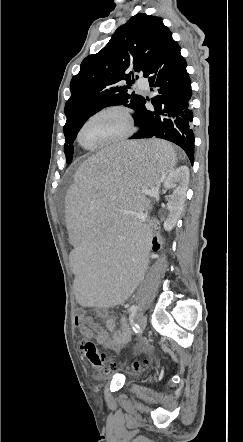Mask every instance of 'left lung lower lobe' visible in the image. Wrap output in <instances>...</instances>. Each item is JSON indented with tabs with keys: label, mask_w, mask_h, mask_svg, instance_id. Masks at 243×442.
<instances>
[{
	"label": "left lung lower lobe",
	"mask_w": 243,
	"mask_h": 442,
	"mask_svg": "<svg viewBox=\"0 0 243 442\" xmlns=\"http://www.w3.org/2000/svg\"><path fill=\"white\" fill-rule=\"evenodd\" d=\"M180 50L170 33L144 76L155 88L156 96L150 100L154 108L147 109L144 99L134 117L139 131L129 139L161 138L171 141L186 152L193 164L191 81Z\"/></svg>",
	"instance_id": "0a47b994"
}]
</instances>
